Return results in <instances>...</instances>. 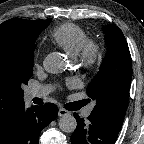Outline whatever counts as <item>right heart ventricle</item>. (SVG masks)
Listing matches in <instances>:
<instances>
[{"label": "right heart ventricle", "mask_w": 144, "mask_h": 144, "mask_svg": "<svg viewBox=\"0 0 144 144\" xmlns=\"http://www.w3.org/2000/svg\"><path fill=\"white\" fill-rule=\"evenodd\" d=\"M50 39L67 54L75 56L87 39V34L84 29L77 24L64 23L51 31Z\"/></svg>", "instance_id": "e07e8e85"}]
</instances>
